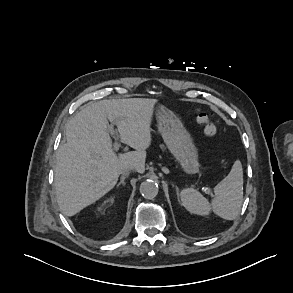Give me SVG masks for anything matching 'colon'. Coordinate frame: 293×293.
Masks as SVG:
<instances>
[{"mask_svg":"<svg viewBox=\"0 0 293 293\" xmlns=\"http://www.w3.org/2000/svg\"><path fill=\"white\" fill-rule=\"evenodd\" d=\"M197 121L204 126V132L209 135H215L218 130V120L212 111H197Z\"/></svg>","mask_w":293,"mask_h":293,"instance_id":"obj_1","label":"colon"}]
</instances>
